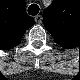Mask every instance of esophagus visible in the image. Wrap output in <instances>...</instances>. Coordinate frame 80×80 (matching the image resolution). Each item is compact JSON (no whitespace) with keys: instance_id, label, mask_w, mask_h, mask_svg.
I'll use <instances>...</instances> for the list:
<instances>
[{"instance_id":"obj_1","label":"esophagus","mask_w":80,"mask_h":80,"mask_svg":"<svg viewBox=\"0 0 80 80\" xmlns=\"http://www.w3.org/2000/svg\"><path fill=\"white\" fill-rule=\"evenodd\" d=\"M35 21H36V23H41V22H42V17H41V15L35 16Z\"/></svg>"}]
</instances>
